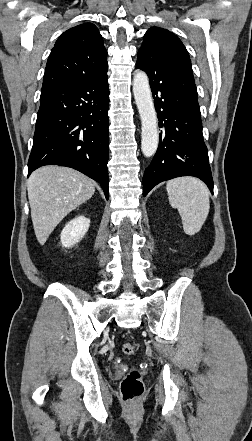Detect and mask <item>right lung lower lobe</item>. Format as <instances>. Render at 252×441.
Wrapping results in <instances>:
<instances>
[{
  "label": "right lung lower lobe",
  "instance_id": "1",
  "mask_svg": "<svg viewBox=\"0 0 252 441\" xmlns=\"http://www.w3.org/2000/svg\"><path fill=\"white\" fill-rule=\"evenodd\" d=\"M109 87L107 77L41 92L28 176L44 165L74 168L108 190Z\"/></svg>",
  "mask_w": 252,
  "mask_h": 441
}]
</instances>
